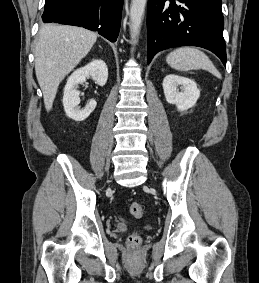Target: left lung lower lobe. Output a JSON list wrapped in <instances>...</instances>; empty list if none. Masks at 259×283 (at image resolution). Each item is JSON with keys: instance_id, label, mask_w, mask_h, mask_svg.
<instances>
[{"instance_id": "1", "label": "left lung lower lobe", "mask_w": 259, "mask_h": 283, "mask_svg": "<svg viewBox=\"0 0 259 283\" xmlns=\"http://www.w3.org/2000/svg\"><path fill=\"white\" fill-rule=\"evenodd\" d=\"M221 4V0H148V63L163 49L198 46L226 65Z\"/></svg>"}]
</instances>
